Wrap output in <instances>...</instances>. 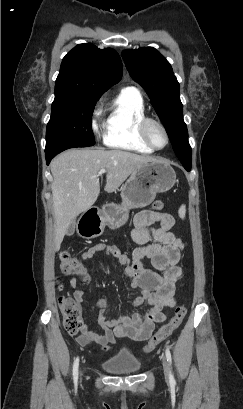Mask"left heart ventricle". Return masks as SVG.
<instances>
[{
  "label": "left heart ventricle",
  "mask_w": 243,
  "mask_h": 409,
  "mask_svg": "<svg viewBox=\"0 0 243 409\" xmlns=\"http://www.w3.org/2000/svg\"><path fill=\"white\" fill-rule=\"evenodd\" d=\"M149 133H150V137L153 141V143L158 146V147H162L165 144V135L163 133V131L161 130L160 127H158L157 125H151L149 127Z\"/></svg>",
  "instance_id": "obj_1"
}]
</instances>
